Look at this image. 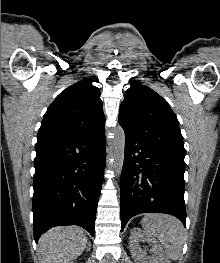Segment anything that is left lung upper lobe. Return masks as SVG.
<instances>
[{
	"label": "left lung upper lobe",
	"instance_id": "5c2ea615",
	"mask_svg": "<svg viewBox=\"0 0 220 263\" xmlns=\"http://www.w3.org/2000/svg\"><path fill=\"white\" fill-rule=\"evenodd\" d=\"M119 122L124 131L184 158L179 122L164 98L134 81L120 106Z\"/></svg>",
	"mask_w": 220,
	"mask_h": 263
}]
</instances>
